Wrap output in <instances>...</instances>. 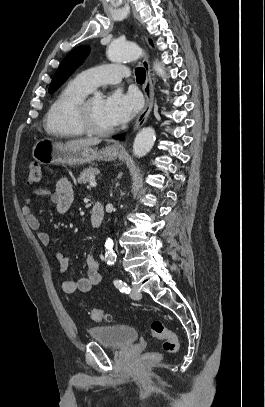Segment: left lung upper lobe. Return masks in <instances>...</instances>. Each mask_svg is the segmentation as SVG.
I'll use <instances>...</instances> for the list:
<instances>
[{
  "mask_svg": "<svg viewBox=\"0 0 265 407\" xmlns=\"http://www.w3.org/2000/svg\"><path fill=\"white\" fill-rule=\"evenodd\" d=\"M89 51L90 47L87 45H83L75 48L66 55L53 77V80L49 86V93H53L67 80V78L73 73V71L87 57Z\"/></svg>",
  "mask_w": 265,
  "mask_h": 407,
  "instance_id": "5c2ea615",
  "label": "left lung upper lobe"
}]
</instances>
